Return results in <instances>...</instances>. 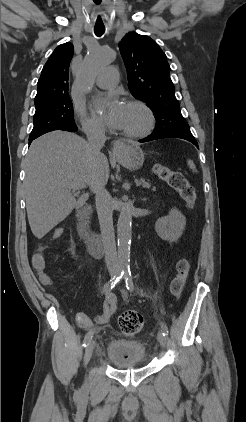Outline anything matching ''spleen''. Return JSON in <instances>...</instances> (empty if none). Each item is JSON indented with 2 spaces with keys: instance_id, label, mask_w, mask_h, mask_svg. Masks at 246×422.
<instances>
[{
  "instance_id": "3e777b00",
  "label": "spleen",
  "mask_w": 246,
  "mask_h": 422,
  "mask_svg": "<svg viewBox=\"0 0 246 422\" xmlns=\"http://www.w3.org/2000/svg\"><path fill=\"white\" fill-rule=\"evenodd\" d=\"M187 164H188L189 168L192 169L193 172H197L196 166H195V164L192 160H188Z\"/></svg>"
}]
</instances>
